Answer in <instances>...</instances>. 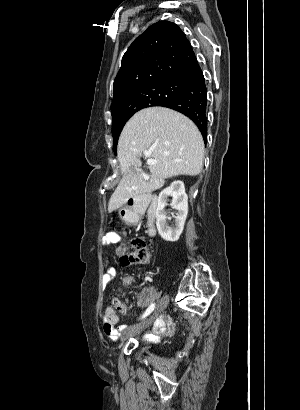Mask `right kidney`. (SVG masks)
I'll use <instances>...</instances> for the list:
<instances>
[{"instance_id": "right-kidney-1", "label": "right kidney", "mask_w": 300, "mask_h": 410, "mask_svg": "<svg viewBox=\"0 0 300 410\" xmlns=\"http://www.w3.org/2000/svg\"><path fill=\"white\" fill-rule=\"evenodd\" d=\"M172 196L171 206L177 210L175 223L169 226L165 207L167 199ZM156 226L160 236L165 241L175 242L179 239L188 214V196L185 192L184 183L181 180L173 181L170 186L161 191L157 199L156 207Z\"/></svg>"}]
</instances>
